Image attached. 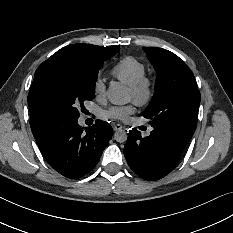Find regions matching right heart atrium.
<instances>
[{
  "label": "right heart atrium",
  "instance_id": "d8ad5b80",
  "mask_svg": "<svg viewBox=\"0 0 233 233\" xmlns=\"http://www.w3.org/2000/svg\"><path fill=\"white\" fill-rule=\"evenodd\" d=\"M94 94L96 97H102L105 95V83L101 78H97L94 82Z\"/></svg>",
  "mask_w": 233,
  "mask_h": 233
}]
</instances>
